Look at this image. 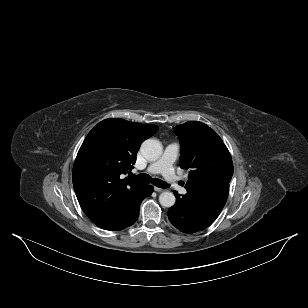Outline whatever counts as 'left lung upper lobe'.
<instances>
[{
	"label": "left lung upper lobe",
	"instance_id": "left-lung-upper-lobe-1",
	"mask_svg": "<svg viewBox=\"0 0 308 308\" xmlns=\"http://www.w3.org/2000/svg\"><path fill=\"white\" fill-rule=\"evenodd\" d=\"M174 132L182 146L180 167L189 170L187 194L229 184L233 175L231 155L217 133L201 122L177 125Z\"/></svg>",
	"mask_w": 308,
	"mask_h": 308
}]
</instances>
